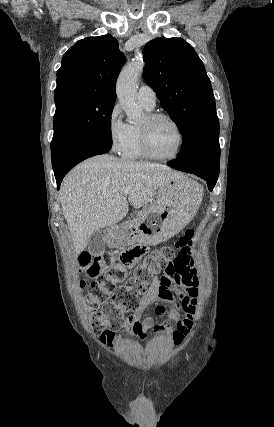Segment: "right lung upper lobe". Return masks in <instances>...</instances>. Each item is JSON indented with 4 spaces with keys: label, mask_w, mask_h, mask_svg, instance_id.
Masks as SVG:
<instances>
[{
    "label": "right lung upper lobe",
    "mask_w": 274,
    "mask_h": 427,
    "mask_svg": "<svg viewBox=\"0 0 274 427\" xmlns=\"http://www.w3.org/2000/svg\"><path fill=\"white\" fill-rule=\"evenodd\" d=\"M125 61L111 35L78 41L64 54L57 71L55 104L89 96L116 97V80Z\"/></svg>",
    "instance_id": "cb5924a9"
}]
</instances>
